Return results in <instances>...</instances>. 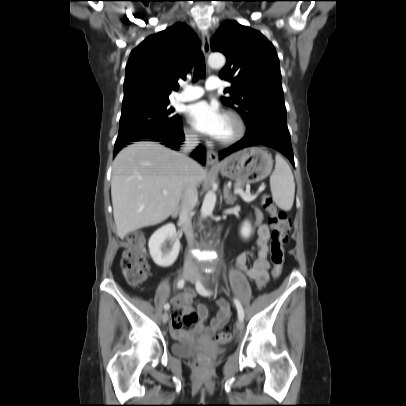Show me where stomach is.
I'll use <instances>...</instances> for the list:
<instances>
[{
	"mask_svg": "<svg viewBox=\"0 0 406 406\" xmlns=\"http://www.w3.org/2000/svg\"><path fill=\"white\" fill-rule=\"evenodd\" d=\"M273 160L261 147H249L224 159L218 168L223 176L236 184L255 183L265 179L271 172Z\"/></svg>",
	"mask_w": 406,
	"mask_h": 406,
	"instance_id": "1",
	"label": "stomach"
}]
</instances>
